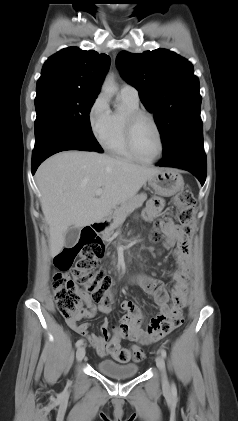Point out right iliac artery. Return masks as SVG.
Returning <instances> with one entry per match:
<instances>
[{"instance_id": "right-iliac-artery-1", "label": "right iliac artery", "mask_w": 238, "mask_h": 421, "mask_svg": "<svg viewBox=\"0 0 238 421\" xmlns=\"http://www.w3.org/2000/svg\"><path fill=\"white\" fill-rule=\"evenodd\" d=\"M83 342H84V340L83 339H80V340H78L77 342H76V347H79V346H81L82 344H83Z\"/></svg>"}]
</instances>
